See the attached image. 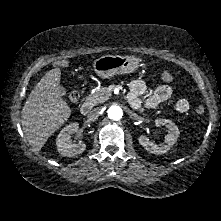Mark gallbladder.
<instances>
[{
    "label": "gallbladder",
    "mask_w": 221,
    "mask_h": 221,
    "mask_svg": "<svg viewBox=\"0 0 221 221\" xmlns=\"http://www.w3.org/2000/svg\"><path fill=\"white\" fill-rule=\"evenodd\" d=\"M59 92H60L61 96H65L66 91L63 87H61Z\"/></svg>",
    "instance_id": "obj_1"
}]
</instances>
